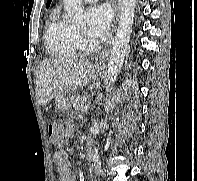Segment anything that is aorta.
Masks as SVG:
<instances>
[{
    "label": "aorta",
    "instance_id": "obj_1",
    "mask_svg": "<svg viewBox=\"0 0 197 181\" xmlns=\"http://www.w3.org/2000/svg\"><path fill=\"white\" fill-rule=\"evenodd\" d=\"M63 2L70 21L75 24L83 23L84 13L82 8V0H63ZM135 8L136 0H122L119 26L108 63L109 87L115 83L123 66V61L128 50L130 35L132 32ZM92 166L94 167L96 173L100 171L101 165L97 149H95L92 156Z\"/></svg>",
    "mask_w": 197,
    "mask_h": 181
}]
</instances>
